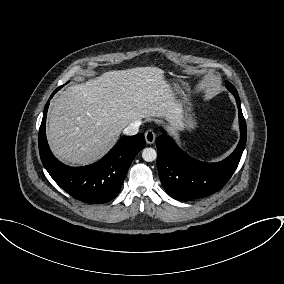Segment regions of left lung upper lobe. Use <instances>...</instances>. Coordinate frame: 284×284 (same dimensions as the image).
Instances as JSON below:
<instances>
[{"label":"left lung upper lobe","mask_w":284,"mask_h":284,"mask_svg":"<svg viewBox=\"0 0 284 284\" xmlns=\"http://www.w3.org/2000/svg\"><path fill=\"white\" fill-rule=\"evenodd\" d=\"M226 84V87L227 89L233 94V95H237L238 96V93H237V90L236 88L230 83V82H225Z\"/></svg>","instance_id":"5c2ea615"}]
</instances>
